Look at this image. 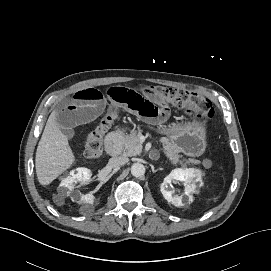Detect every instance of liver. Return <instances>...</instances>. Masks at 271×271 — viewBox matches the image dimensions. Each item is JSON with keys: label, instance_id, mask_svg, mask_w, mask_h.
Listing matches in <instances>:
<instances>
[{"label": "liver", "instance_id": "obj_1", "mask_svg": "<svg viewBox=\"0 0 271 271\" xmlns=\"http://www.w3.org/2000/svg\"><path fill=\"white\" fill-rule=\"evenodd\" d=\"M56 115L57 110H53L36 151V174L39 183L43 186L49 185L75 161L68 138L57 125Z\"/></svg>", "mask_w": 271, "mask_h": 271}]
</instances>
